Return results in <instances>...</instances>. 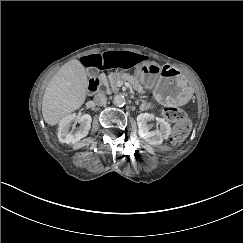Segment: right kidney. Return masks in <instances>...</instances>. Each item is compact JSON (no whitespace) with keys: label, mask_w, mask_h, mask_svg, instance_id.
I'll return each instance as SVG.
<instances>
[{"label":"right kidney","mask_w":243,"mask_h":243,"mask_svg":"<svg viewBox=\"0 0 243 243\" xmlns=\"http://www.w3.org/2000/svg\"><path fill=\"white\" fill-rule=\"evenodd\" d=\"M76 121L80 123L78 128L73 126V130H69L71 122ZM92 118L89 114H84L81 116H76L75 114H70L63 117L59 122L58 127V139L62 143L75 144L82 138L87 136L91 127Z\"/></svg>","instance_id":"right-kidney-1"}]
</instances>
